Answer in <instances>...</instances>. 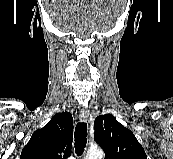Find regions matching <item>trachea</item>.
I'll return each mask as SVG.
<instances>
[{
	"instance_id": "obj_1",
	"label": "trachea",
	"mask_w": 173,
	"mask_h": 159,
	"mask_svg": "<svg viewBox=\"0 0 173 159\" xmlns=\"http://www.w3.org/2000/svg\"><path fill=\"white\" fill-rule=\"evenodd\" d=\"M75 153L79 156L83 153L87 143V124L85 122H79L76 125L75 132Z\"/></svg>"
}]
</instances>
